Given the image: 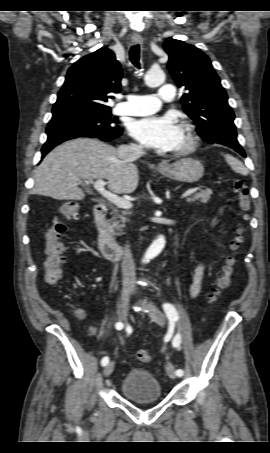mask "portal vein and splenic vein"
Returning <instances> with one entry per match:
<instances>
[{
	"mask_svg": "<svg viewBox=\"0 0 270 453\" xmlns=\"http://www.w3.org/2000/svg\"><path fill=\"white\" fill-rule=\"evenodd\" d=\"M105 182L103 180H97L93 183V187L97 190L104 198H106L109 202L116 205L118 208L122 209H130L132 208V203L124 198L119 197L118 195L107 191L105 188ZM199 190V187L191 188L182 194L181 198H186L191 194L195 193Z\"/></svg>",
	"mask_w": 270,
	"mask_h": 453,
	"instance_id": "portal-vein-and-splenic-vein-1",
	"label": "portal vein and splenic vein"
}]
</instances>
